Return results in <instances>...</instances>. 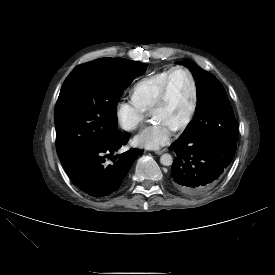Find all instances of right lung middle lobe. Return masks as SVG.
<instances>
[{
    "instance_id": "dd1d6c3e",
    "label": "right lung middle lobe",
    "mask_w": 275,
    "mask_h": 275,
    "mask_svg": "<svg viewBox=\"0 0 275 275\" xmlns=\"http://www.w3.org/2000/svg\"><path fill=\"white\" fill-rule=\"evenodd\" d=\"M146 68V64L122 58H100L74 68L64 81L56 103L59 157L119 133L116 128L118 100Z\"/></svg>"
}]
</instances>
